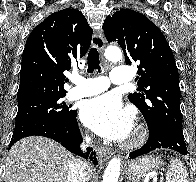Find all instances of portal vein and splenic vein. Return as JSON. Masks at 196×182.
<instances>
[{
	"mask_svg": "<svg viewBox=\"0 0 196 182\" xmlns=\"http://www.w3.org/2000/svg\"><path fill=\"white\" fill-rule=\"evenodd\" d=\"M157 181V178L156 177H154V182H156Z\"/></svg>",
	"mask_w": 196,
	"mask_h": 182,
	"instance_id": "portal-vein-and-splenic-vein-1",
	"label": "portal vein and splenic vein"
}]
</instances>
